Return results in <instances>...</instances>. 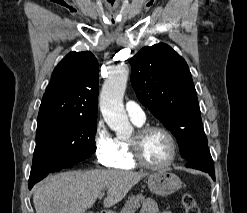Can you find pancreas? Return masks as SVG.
<instances>
[{
    "label": "pancreas",
    "mask_w": 247,
    "mask_h": 213,
    "mask_svg": "<svg viewBox=\"0 0 247 213\" xmlns=\"http://www.w3.org/2000/svg\"><path fill=\"white\" fill-rule=\"evenodd\" d=\"M144 200L145 197L142 194L131 195L120 213H135V211L140 208L141 202Z\"/></svg>",
    "instance_id": "cf45deb5"
}]
</instances>
